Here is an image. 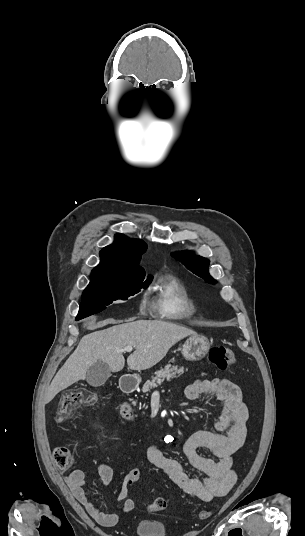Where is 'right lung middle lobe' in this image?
I'll return each instance as SVG.
<instances>
[{"label":"right lung middle lobe","mask_w":305,"mask_h":536,"mask_svg":"<svg viewBox=\"0 0 305 536\" xmlns=\"http://www.w3.org/2000/svg\"><path fill=\"white\" fill-rule=\"evenodd\" d=\"M152 278L129 280H93L82 294L77 320L106 309V305L116 300H126L141 289H146Z\"/></svg>","instance_id":"obj_1"}]
</instances>
